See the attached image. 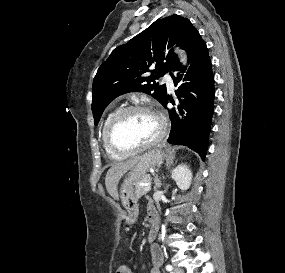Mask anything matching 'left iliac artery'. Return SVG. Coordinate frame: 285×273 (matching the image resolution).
<instances>
[{
    "label": "left iliac artery",
    "mask_w": 285,
    "mask_h": 273,
    "mask_svg": "<svg viewBox=\"0 0 285 273\" xmlns=\"http://www.w3.org/2000/svg\"><path fill=\"white\" fill-rule=\"evenodd\" d=\"M165 268H166L167 271H172V269H173V267L171 265H169V264L166 265Z\"/></svg>",
    "instance_id": "left-iliac-artery-1"
}]
</instances>
